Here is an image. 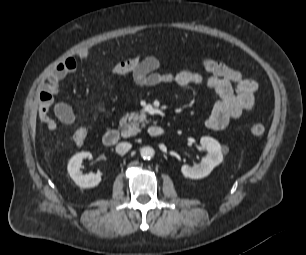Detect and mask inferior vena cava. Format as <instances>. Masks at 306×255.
<instances>
[{"label": "inferior vena cava", "mask_w": 306, "mask_h": 255, "mask_svg": "<svg viewBox=\"0 0 306 255\" xmlns=\"http://www.w3.org/2000/svg\"><path fill=\"white\" fill-rule=\"evenodd\" d=\"M132 145L128 142H122L119 143L116 146V152L120 155H124L125 153H127L130 149H131Z\"/></svg>", "instance_id": "1"}]
</instances>
